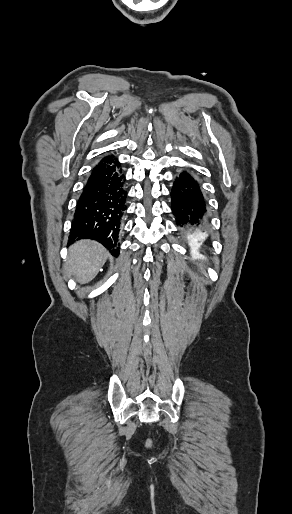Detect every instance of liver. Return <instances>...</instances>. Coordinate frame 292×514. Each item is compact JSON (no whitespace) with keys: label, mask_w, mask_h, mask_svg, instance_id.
<instances>
[{"label":"liver","mask_w":292,"mask_h":514,"mask_svg":"<svg viewBox=\"0 0 292 514\" xmlns=\"http://www.w3.org/2000/svg\"><path fill=\"white\" fill-rule=\"evenodd\" d=\"M109 254L98 242L80 240L69 248L65 272L74 276L78 284H88L104 266Z\"/></svg>","instance_id":"liver-1"}]
</instances>
